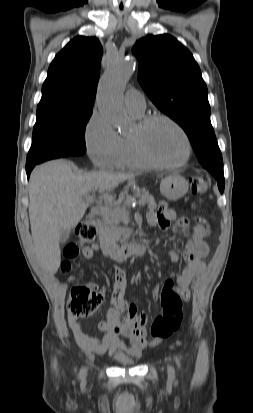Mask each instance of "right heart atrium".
<instances>
[{"label":"right heart atrium","mask_w":253,"mask_h":413,"mask_svg":"<svg viewBox=\"0 0 253 413\" xmlns=\"http://www.w3.org/2000/svg\"><path fill=\"white\" fill-rule=\"evenodd\" d=\"M87 153L98 168H110L119 152L121 139L109 121L95 111L85 128Z\"/></svg>","instance_id":"right-heart-atrium-1"}]
</instances>
